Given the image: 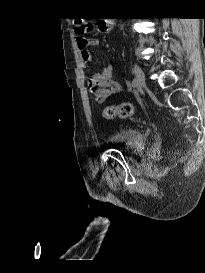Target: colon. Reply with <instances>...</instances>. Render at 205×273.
<instances>
[{
  "label": "colon",
  "instance_id": "obj_1",
  "mask_svg": "<svg viewBox=\"0 0 205 273\" xmlns=\"http://www.w3.org/2000/svg\"><path fill=\"white\" fill-rule=\"evenodd\" d=\"M91 23L82 20L76 19L74 22L75 32L79 35L88 33L91 30ZM134 114V106L129 102H122L115 105L107 106L103 111V116L105 119H114V118H130Z\"/></svg>",
  "mask_w": 205,
  "mask_h": 273
}]
</instances>
